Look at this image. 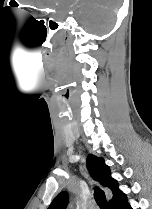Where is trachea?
I'll use <instances>...</instances> for the list:
<instances>
[{
	"label": "trachea",
	"mask_w": 152,
	"mask_h": 209,
	"mask_svg": "<svg viewBox=\"0 0 152 209\" xmlns=\"http://www.w3.org/2000/svg\"><path fill=\"white\" fill-rule=\"evenodd\" d=\"M94 198L97 204L99 205L100 209H109L105 194L98 187H95Z\"/></svg>",
	"instance_id": "trachea-1"
}]
</instances>
